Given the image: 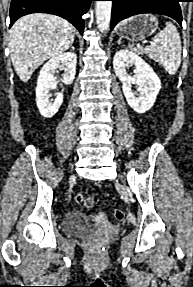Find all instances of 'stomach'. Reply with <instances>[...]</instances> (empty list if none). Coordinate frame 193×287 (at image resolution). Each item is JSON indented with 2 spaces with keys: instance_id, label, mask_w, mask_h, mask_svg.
Listing matches in <instances>:
<instances>
[{
  "instance_id": "stomach-1",
  "label": "stomach",
  "mask_w": 193,
  "mask_h": 287,
  "mask_svg": "<svg viewBox=\"0 0 193 287\" xmlns=\"http://www.w3.org/2000/svg\"><path fill=\"white\" fill-rule=\"evenodd\" d=\"M158 29V20L151 14H142L121 22L117 33L130 41H141L151 36Z\"/></svg>"
}]
</instances>
